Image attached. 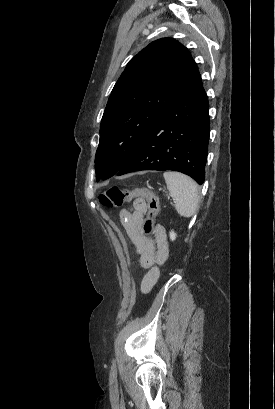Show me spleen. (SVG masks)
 I'll use <instances>...</instances> for the list:
<instances>
[{"label": "spleen", "mask_w": 275, "mask_h": 409, "mask_svg": "<svg viewBox=\"0 0 275 409\" xmlns=\"http://www.w3.org/2000/svg\"><path fill=\"white\" fill-rule=\"evenodd\" d=\"M170 196L175 198V209L181 217H192L198 207L199 196L197 182L181 172L163 174Z\"/></svg>", "instance_id": "3e777b00"}]
</instances>
